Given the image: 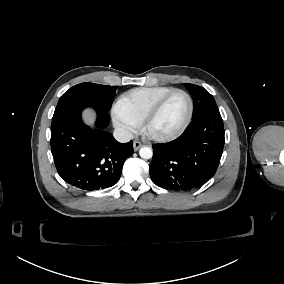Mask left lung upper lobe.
<instances>
[{
	"label": "left lung upper lobe",
	"instance_id": "5c2ea615",
	"mask_svg": "<svg viewBox=\"0 0 284 284\" xmlns=\"http://www.w3.org/2000/svg\"><path fill=\"white\" fill-rule=\"evenodd\" d=\"M185 88L190 92L194 102L192 120L208 113H219L213 96L203 87L185 83Z\"/></svg>",
	"mask_w": 284,
	"mask_h": 284
}]
</instances>
